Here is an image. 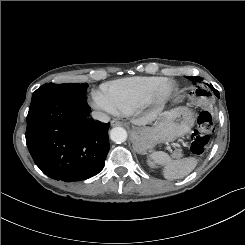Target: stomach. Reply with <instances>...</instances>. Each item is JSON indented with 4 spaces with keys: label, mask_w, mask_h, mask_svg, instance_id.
Wrapping results in <instances>:
<instances>
[{
    "label": "stomach",
    "mask_w": 245,
    "mask_h": 245,
    "mask_svg": "<svg viewBox=\"0 0 245 245\" xmlns=\"http://www.w3.org/2000/svg\"><path fill=\"white\" fill-rule=\"evenodd\" d=\"M193 125L194 117L188 108L178 107L165 111L152 127H133L134 148L139 153H145L157 144L171 142L186 135Z\"/></svg>",
    "instance_id": "1"
}]
</instances>
